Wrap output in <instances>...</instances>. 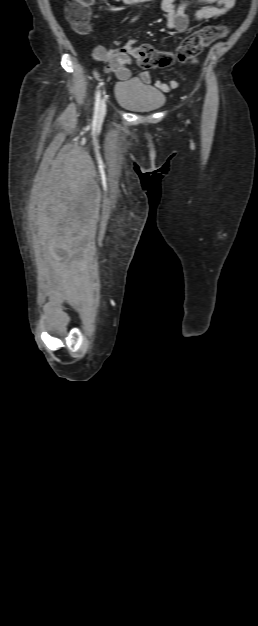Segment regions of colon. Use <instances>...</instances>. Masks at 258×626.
<instances>
[{
  "instance_id": "5ec220e1",
  "label": "colon",
  "mask_w": 258,
  "mask_h": 626,
  "mask_svg": "<svg viewBox=\"0 0 258 626\" xmlns=\"http://www.w3.org/2000/svg\"><path fill=\"white\" fill-rule=\"evenodd\" d=\"M91 3L92 0H68L67 2V19L79 33H85L89 29V7ZM226 32L227 30L223 26H208L199 29L189 35L172 55H159L152 46L148 44L137 46L132 40L127 42L125 50L137 60L141 67H164L174 60L187 61L192 59L204 47L224 36Z\"/></svg>"
}]
</instances>
